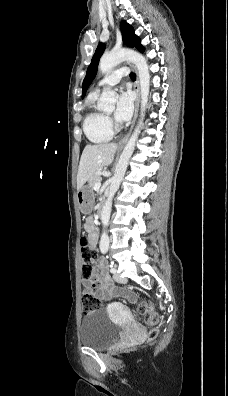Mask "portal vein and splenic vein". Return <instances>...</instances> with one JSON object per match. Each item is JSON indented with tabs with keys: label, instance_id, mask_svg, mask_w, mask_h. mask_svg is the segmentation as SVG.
I'll return each instance as SVG.
<instances>
[{
	"label": "portal vein and splenic vein",
	"instance_id": "1",
	"mask_svg": "<svg viewBox=\"0 0 228 396\" xmlns=\"http://www.w3.org/2000/svg\"><path fill=\"white\" fill-rule=\"evenodd\" d=\"M100 187H101V182H98V183L95 184L94 190H99Z\"/></svg>",
	"mask_w": 228,
	"mask_h": 396
}]
</instances>
